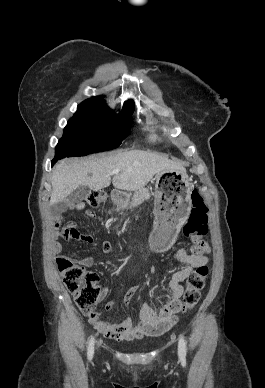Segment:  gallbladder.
Returning a JSON list of instances; mask_svg holds the SVG:
<instances>
[{"instance_id":"1","label":"gallbladder","mask_w":265,"mask_h":388,"mask_svg":"<svg viewBox=\"0 0 265 388\" xmlns=\"http://www.w3.org/2000/svg\"><path fill=\"white\" fill-rule=\"evenodd\" d=\"M91 190L90 188H87V186H79V188H76L72 194H70L68 198L69 204H81L82 200L90 194Z\"/></svg>"}]
</instances>
